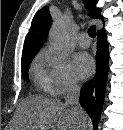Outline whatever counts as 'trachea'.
I'll return each mask as SVG.
<instances>
[{
	"instance_id": "obj_1",
	"label": "trachea",
	"mask_w": 123,
	"mask_h": 130,
	"mask_svg": "<svg viewBox=\"0 0 123 130\" xmlns=\"http://www.w3.org/2000/svg\"><path fill=\"white\" fill-rule=\"evenodd\" d=\"M88 35L91 37V38H95L96 37V29L94 26H91L89 29H88Z\"/></svg>"
}]
</instances>
